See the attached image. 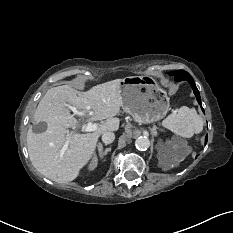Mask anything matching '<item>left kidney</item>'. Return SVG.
Listing matches in <instances>:
<instances>
[{
    "label": "left kidney",
    "instance_id": "5707ae66",
    "mask_svg": "<svg viewBox=\"0 0 233 233\" xmlns=\"http://www.w3.org/2000/svg\"><path fill=\"white\" fill-rule=\"evenodd\" d=\"M165 153H166V156H167V157H172V156H171L172 151H171L170 148L167 147V148L165 149Z\"/></svg>",
    "mask_w": 233,
    "mask_h": 233
}]
</instances>
